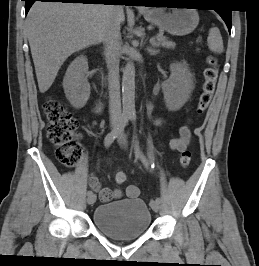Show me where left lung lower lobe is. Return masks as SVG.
<instances>
[{"mask_svg": "<svg viewBox=\"0 0 259 266\" xmlns=\"http://www.w3.org/2000/svg\"><path fill=\"white\" fill-rule=\"evenodd\" d=\"M192 0H146V3L150 4H166L172 5L173 3H192ZM222 19L225 21L229 32L231 31V10L229 9H216Z\"/></svg>", "mask_w": 259, "mask_h": 266, "instance_id": "1", "label": "left lung lower lobe"}]
</instances>
